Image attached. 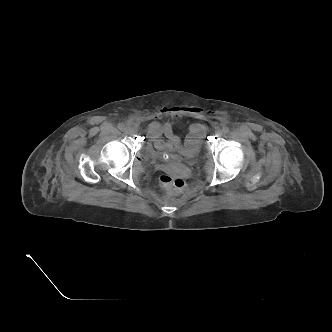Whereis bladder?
Returning a JSON list of instances; mask_svg holds the SVG:
<instances>
[{"label":"bladder","instance_id":"bladder-1","mask_svg":"<svg viewBox=\"0 0 332 332\" xmlns=\"http://www.w3.org/2000/svg\"><path fill=\"white\" fill-rule=\"evenodd\" d=\"M202 150L201 144L195 146V147H188V146H183L179 151V155L185 159V160H194L196 159ZM152 156L157 158L158 155L152 153Z\"/></svg>","mask_w":332,"mask_h":332}]
</instances>
